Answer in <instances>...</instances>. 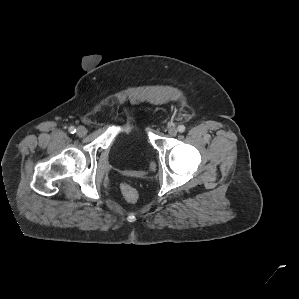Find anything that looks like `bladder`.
Instances as JSON below:
<instances>
[{"mask_svg":"<svg viewBox=\"0 0 299 299\" xmlns=\"http://www.w3.org/2000/svg\"><path fill=\"white\" fill-rule=\"evenodd\" d=\"M112 149L124 156V166L128 169L135 167L136 159L149 153L144 135L139 131L119 135L113 142Z\"/></svg>","mask_w":299,"mask_h":299,"instance_id":"bladder-1","label":"bladder"}]
</instances>
